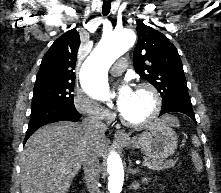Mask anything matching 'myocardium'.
Wrapping results in <instances>:
<instances>
[{
    "instance_id": "obj_1",
    "label": "myocardium",
    "mask_w": 221,
    "mask_h": 193,
    "mask_svg": "<svg viewBox=\"0 0 221 193\" xmlns=\"http://www.w3.org/2000/svg\"><path fill=\"white\" fill-rule=\"evenodd\" d=\"M136 90L147 91L152 97L153 107L147 117L141 120H137V121L130 120L126 118L123 114L120 115L121 122L124 125L128 127H133V128L143 127L153 122L159 115L160 110H161V105H162L161 95L159 91L157 90V88L153 86L152 84L147 83V82L139 83L136 87Z\"/></svg>"
}]
</instances>
